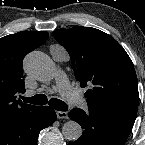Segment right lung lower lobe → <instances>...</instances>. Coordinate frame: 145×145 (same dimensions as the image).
<instances>
[{"instance_id": "right-lung-lower-lobe-1", "label": "right lung lower lobe", "mask_w": 145, "mask_h": 145, "mask_svg": "<svg viewBox=\"0 0 145 145\" xmlns=\"http://www.w3.org/2000/svg\"><path fill=\"white\" fill-rule=\"evenodd\" d=\"M48 106H35L0 124V145H37L39 132L56 121Z\"/></svg>"}]
</instances>
